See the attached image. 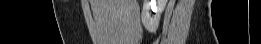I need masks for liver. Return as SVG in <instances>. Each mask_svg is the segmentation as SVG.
Returning a JSON list of instances; mask_svg holds the SVG:
<instances>
[{
  "instance_id": "liver-1",
  "label": "liver",
  "mask_w": 261,
  "mask_h": 44,
  "mask_svg": "<svg viewBox=\"0 0 261 44\" xmlns=\"http://www.w3.org/2000/svg\"><path fill=\"white\" fill-rule=\"evenodd\" d=\"M97 26L98 44H133L137 42L136 0H90Z\"/></svg>"
}]
</instances>
